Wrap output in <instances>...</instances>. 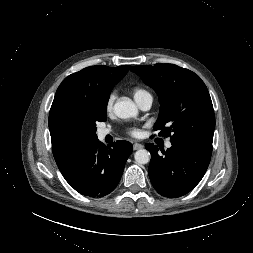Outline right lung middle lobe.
<instances>
[{
	"label": "right lung middle lobe",
	"mask_w": 253,
	"mask_h": 253,
	"mask_svg": "<svg viewBox=\"0 0 253 253\" xmlns=\"http://www.w3.org/2000/svg\"><path fill=\"white\" fill-rule=\"evenodd\" d=\"M106 107L103 108L101 111H99L98 113H95L89 117H87L84 121V125L87 128V130L89 131V140H93L95 138H97V135L95 134L96 132V123L97 122H104L106 121Z\"/></svg>",
	"instance_id": "right-lung-middle-lobe-1"
}]
</instances>
